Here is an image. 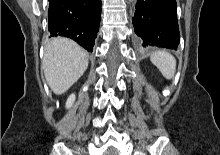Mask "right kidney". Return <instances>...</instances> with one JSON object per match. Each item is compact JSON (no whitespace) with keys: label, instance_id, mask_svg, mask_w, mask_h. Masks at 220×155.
<instances>
[{"label":"right kidney","instance_id":"obj_1","mask_svg":"<svg viewBox=\"0 0 220 155\" xmlns=\"http://www.w3.org/2000/svg\"><path fill=\"white\" fill-rule=\"evenodd\" d=\"M74 101H75V94H71L67 99L66 108H70L73 105Z\"/></svg>","mask_w":220,"mask_h":155}]
</instances>
